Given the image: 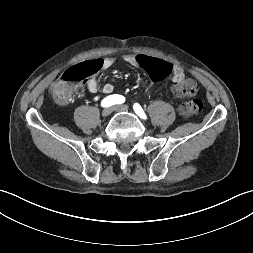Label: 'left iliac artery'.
Here are the masks:
<instances>
[{
    "mask_svg": "<svg viewBox=\"0 0 253 253\" xmlns=\"http://www.w3.org/2000/svg\"><path fill=\"white\" fill-rule=\"evenodd\" d=\"M133 109L134 111L143 119H147V116L145 114V112L143 111V109L141 108V106L138 103H135L133 105Z\"/></svg>",
    "mask_w": 253,
    "mask_h": 253,
    "instance_id": "44dca946",
    "label": "left iliac artery"
}]
</instances>
